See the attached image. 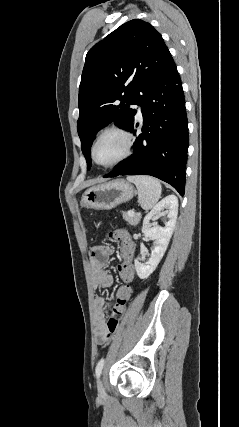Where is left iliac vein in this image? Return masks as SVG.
<instances>
[{
	"instance_id": "1",
	"label": "left iliac vein",
	"mask_w": 239,
	"mask_h": 427,
	"mask_svg": "<svg viewBox=\"0 0 239 427\" xmlns=\"http://www.w3.org/2000/svg\"><path fill=\"white\" fill-rule=\"evenodd\" d=\"M97 389H98L99 396H101V397L104 396L105 390L103 387V383L100 379H98V381H97Z\"/></svg>"
}]
</instances>
